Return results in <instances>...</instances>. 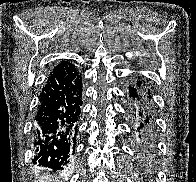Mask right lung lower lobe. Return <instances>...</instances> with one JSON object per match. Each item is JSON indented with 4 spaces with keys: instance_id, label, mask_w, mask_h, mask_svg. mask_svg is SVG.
<instances>
[{
    "instance_id": "obj_1",
    "label": "right lung lower lobe",
    "mask_w": 196,
    "mask_h": 182,
    "mask_svg": "<svg viewBox=\"0 0 196 182\" xmlns=\"http://www.w3.org/2000/svg\"><path fill=\"white\" fill-rule=\"evenodd\" d=\"M82 81L75 65L63 61L54 67L40 94L34 128L39 166L62 170L75 145L82 105ZM74 148V147H72Z\"/></svg>"
}]
</instances>
